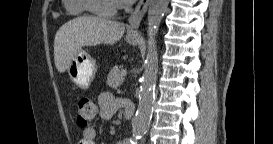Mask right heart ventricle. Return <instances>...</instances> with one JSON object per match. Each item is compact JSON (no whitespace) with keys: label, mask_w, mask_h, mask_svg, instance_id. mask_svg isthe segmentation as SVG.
<instances>
[{"label":"right heart ventricle","mask_w":273,"mask_h":144,"mask_svg":"<svg viewBox=\"0 0 273 144\" xmlns=\"http://www.w3.org/2000/svg\"><path fill=\"white\" fill-rule=\"evenodd\" d=\"M63 7L66 13L71 16H80L86 11L84 0H63Z\"/></svg>","instance_id":"e07e8e85"}]
</instances>
